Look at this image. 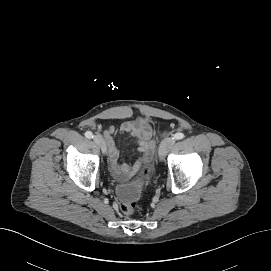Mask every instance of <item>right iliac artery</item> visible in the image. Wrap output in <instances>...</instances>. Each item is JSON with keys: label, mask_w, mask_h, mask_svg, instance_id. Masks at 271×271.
<instances>
[{"label": "right iliac artery", "mask_w": 271, "mask_h": 271, "mask_svg": "<svg viewBox=\"0 0 271 271\" xmlns=\"http://www.w3.org/2000/svg\"><path fill=\"white\" fill-rule=\"evenodd\" d=\"M85 136H86L88 139L93 138V134H92V132H90V131H87V132L85 133Z\"/></svg>", "instance_id": "obj_1"}]
</instances>
